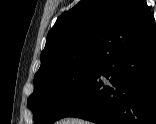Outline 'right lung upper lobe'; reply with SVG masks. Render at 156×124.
Masks as SVG:
<instances>
[{"label": "right lung upper lobe", "instance_id": "1", "mask_svg": "<svg viewBox=\"0 0 156 124\" xmlns=\"http://www.w3.org/2000/svg\"><path fill=\"white\" fill-rule=\"evenodd\" d=\"M149 26L155 22L145 0H81L48 33L34 79L63 66L102 60L110 47Z\"/></svg>", "mask_w": 156, "mask_h": 124}]
</instances>
